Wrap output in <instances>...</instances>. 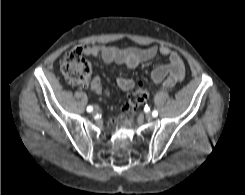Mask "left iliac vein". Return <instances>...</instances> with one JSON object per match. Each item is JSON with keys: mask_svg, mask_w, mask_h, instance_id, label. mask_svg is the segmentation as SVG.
I'll return each mask as SVG.
<instances>
[{"mask_svg": "<svg viewBox=\"0 0 245 195\" xmlns=\"http://www.w3.org/2000/svg\"><path fill=\"white\" fill-rule=\"evenodd\" d=\"M146 117H147L148 119H152V118H153V115H152L151 113H147V114H146Z\"/></svg>", "mask_w": 245, "mask_h": 195, "instance_id": "left-iliac-vein-1", "label": "left iliac vein"}]
</instances>
